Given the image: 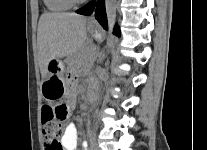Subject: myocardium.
I'll list each match as a JSON object with an SVG mask.
<instances>
[{
  "label": "myocardium",
  "mask_w": 207,
  "mask_h": 150,
  "mask_svg": "<svg viewBox=\"0 0 207 150\" xmlns=\"http://www.w3.org/2000/svg\"><path fill=\"white\" fill-rule=\"evenodd\" d=\"M86 0H69L72 5H78L84 3Z\"/></svg>",
  "instance_id": "f54148a6"
}]
</instances>
